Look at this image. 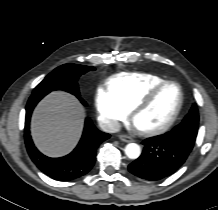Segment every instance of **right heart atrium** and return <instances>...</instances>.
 I'll return each instance as SVG.
<instances>
[{"instance_id":"1","label":"right heart atrium","mask_w":218,"mask_h":210,"mask_svg":"<svg viewBox=\"0 0 218 210\" xmlns=\"http://www.w3.org/2000/svg\"><path fill=\"white\" fill-rule=\"evenodd\" d=\"M94 102L100 122L109 131H116L129 116L130 110L108 89L98 88Z\"/></svg>"}]
</instances>
